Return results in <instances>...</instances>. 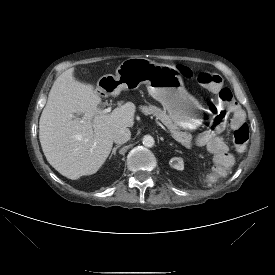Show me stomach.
I'll return each instance as SVG.
<instances>
[{"mask_svg":"<svg viewBox=\"0 0 275 275\" xmlns=\"http://www.w3.org/2000/svg\"><path fill=\"white\" fill-rule=\"evenodd\" d=\"M147 86L148 93L162 104L171 120L183 129L196 130L203 123L202 105L184 87L180 71L172 65L145 58H129L97 82V88L116 95L124 89Z\"/></svg>","mask_w":275,"mask_h":275,"instance_id":"0dacf381","label":"stomach"}]
</instances>
